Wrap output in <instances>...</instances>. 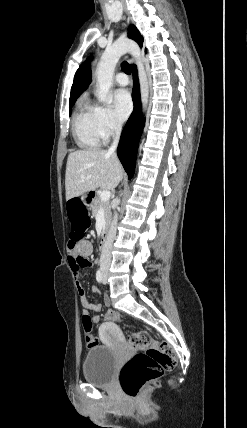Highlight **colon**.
<instances>
[{
  "instance_id": "5ec220e1",
  "label": "colon",
  "mask_w": 247,
  "mask_h": 428,
  "mask_svg": "<svg viewBox=\"0 0 247 428\" xmlns=\"http://www.w3.org/2000/svg\"><path fill=\"white\" fill-rule=\"evenodd\" d=\"M64 208L68 217L67 228L70 231L68 242L69 254L77 255L78 239H88L92 231V217H88L89 205L84 204L79 194H70L69 199H64ZM78 266L87 267L89 262L77 257ZM119 315L113 310L104 311V320L114 323ZM84 337L88 346L97 344V339L92 332V322L88 317H82ZM132 347L140 352L133 355L123 366L120 373V385L123 392L135 398L148 382L157 380L166 371L176 367L177 358L171 347L166 342H158L152 339L146 331L133 333L129 338Z\"/></svg>"
}]
</instances>
